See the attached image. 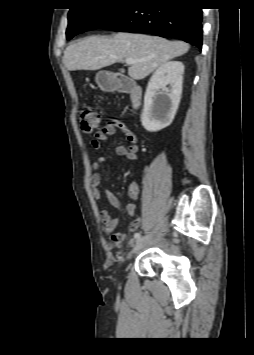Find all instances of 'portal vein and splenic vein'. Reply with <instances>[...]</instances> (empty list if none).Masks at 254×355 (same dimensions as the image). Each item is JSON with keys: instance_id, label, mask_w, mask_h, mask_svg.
Masks as SVG:
<instances>
[{"instance_id": "portal-vein-and-splenic-vein-1", "label": "portal vein and splenic vein", "mask_w": 254, "mask_h": 355, "mask_svg": "<svg viewBox=\"0 0 254 355\" xmlns=\"http://www.w3.org/2000/svg\"><path fill=\"white\" fill-rule=\"evenodd\" d=\"M135 62H137V61L134 60V59H131V58L125 59V63L128 64V65L133 64V63H135Z\"/></svg>"}]
</instances>
